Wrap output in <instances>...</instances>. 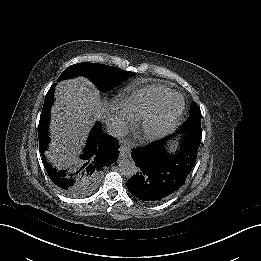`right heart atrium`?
<instances>
[{"mask_svg": "<svg viewBox=\"0 0 261 261\" xmlns=\"http://www.w3.org/2000/svg\"><path fill=\"white\" fill-rule=\"evenodd\" d=\"M114 129L117 132H124L128 127V121L120 114L116 117V120L113 122Z\"/></svg>", "mask_w": 261, "mask_h": 261, "instance_id": "d8ad5b80", "label": "right heart atrium"}]
</instances>
